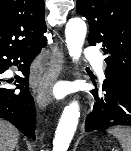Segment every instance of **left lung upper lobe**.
I'll use <instances>...</instances> for the list:
<instances>
[{
    "label": "left lung upper lobe",
    "instance_id": "left-lung-upper-lobe-1",
    "mask_svg": "<svg viewBox=\"0 0 131 151\" xmlns=\"http://www.w3.org/2000/svg\"><path fill=\"white\" fill-rule=\"evenodd\" d=\"M76 13L89 22V44L107 55L105 72L131 81V1L77 0Z\"/></svg>",
    "mask_w": 131,
    "mask_h": 151
}]
</instances>
